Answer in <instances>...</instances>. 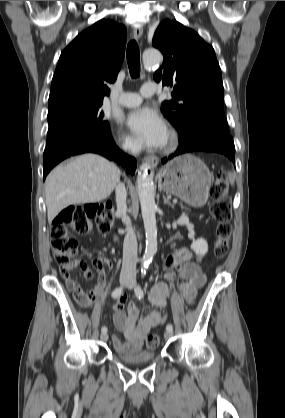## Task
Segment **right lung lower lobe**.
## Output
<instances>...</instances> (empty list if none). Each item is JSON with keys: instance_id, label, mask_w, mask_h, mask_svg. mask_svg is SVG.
<instances>
[{"instance_id": "98d812e1", "label": "right lung lower lobe", "mask_w": 285, "mask_h": 418, "mask_svg": "<svg viewBox=\"0 0 285 418\" xmlns=\"http://www.w3.org/2000/svg\"><path fill=\"white\" fill-rule=\"evenodd\" d=\"M88 152L115 160L125 166L128 173H135L136 160L116 147L110 132L105 134L75 133L47 146L43 154L44 179L50 170L65 158Z\"/></svg>"}]
</instances>
